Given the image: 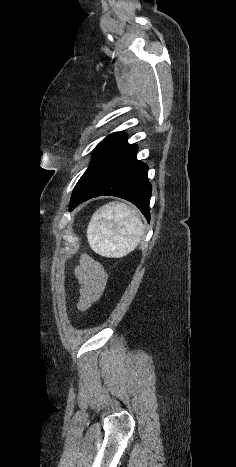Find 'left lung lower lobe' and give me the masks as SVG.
<instances>
[{"label":"left lung lower lobe","mask_w":236,"mask_h":467,"mask_svg":"<svg viewBox=\"0 0 236 467\" xmlns=\"http://www.w3.org/2000/svg\"><path fill=\"white\" fill-rule=\"evenodd\" d=\"M136 152L137 146L128 144L125 135L119 137L72 195L70 210L92 197L110 195L132 202L150 220L148 166L137 160Z\"/></svg>","instance_id":"0a47b994"}]
</instances>
